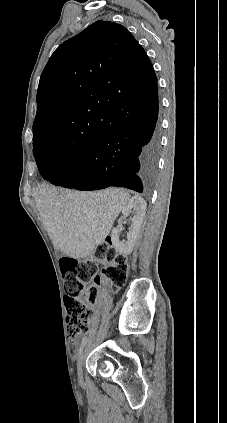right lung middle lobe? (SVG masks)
Segmentation results:
<instances>
[{
  "mask_svg": "<svg viewBox=\"0 0 227 423\" xmlns=\"http://www.w3.org/2000/svg\"><path fill=\"white\" fill-rule=\"evenodd\" d=\"M90 151L91 146L74 148L58 138H43L33 142V154L37 166L49 165L58 171H66Z\"/></svg>",
  "mask_w": 227,
  "mask_h": 423,
  "instance_id": "dd1d6c3e",
  "label": "right lung middle lobe"
}]
</instances>
